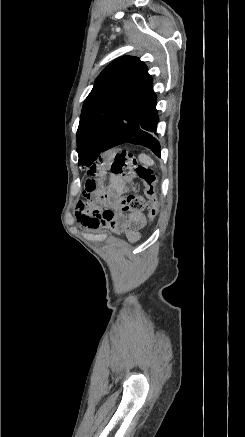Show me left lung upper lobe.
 I'll return each mask as SVG.
<instances>
[{"instance_id": "left-lung-upper-lobe-1", "label": "left lung upper lobe", "mask_w": 245, "mask_h": 437, "mask_svg": "<svg viewBox=\"0 0 245 437\" xmlns=\"http://www.w3.org/2000/svg\"><path fill=\"white\" fill-rule=\"evenodd\" d=\"M149 77L147 66L131 56L114 60L99 74L80 116L79 165L89 167L98 158L112 126Z\"/></svg>"}]
</instances>
